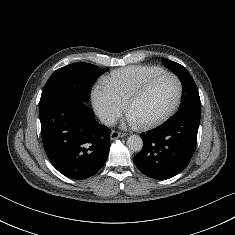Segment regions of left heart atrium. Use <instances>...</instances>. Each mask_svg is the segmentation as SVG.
<instances>
[{
  "instance_id": "39dd6f15",
  "label": "left heart atrium",
  "mask_w": 235,
  "mask_h": 235,
  "mask_svg": "<svg viewBox=\"0 0 235 235\" xmlns=\"http://www.w3.org/2000/svg\"><path fill=\"white\" fill-rule=\"evenodd\" d=\"M125 123H127L129 125H133V126L138 125V122L130 114L127 115V117L125 119Z\"/></svg>"
}]
</instances>
